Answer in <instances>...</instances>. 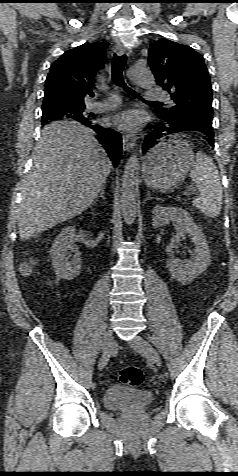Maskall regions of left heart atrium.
Listing matches in <instances>:
<instances>
[{
  "mask_svg": "<svg viewBox=\"0 0 238 476\" xmlns=\"http://www.w3.org/2000/svg\"><path fill=\"white\" fill-rule=\"evenodd\" d=\"M112 121L123 130L135 132L142 127L144 119L139 111L129 110L114 116Z\"/></svg>",
  "mask_w": 238,
  "mask_h": 476,
  "instance_id": "39dd6f15",
  "label": "left heart atrium"
}]
</instances>
